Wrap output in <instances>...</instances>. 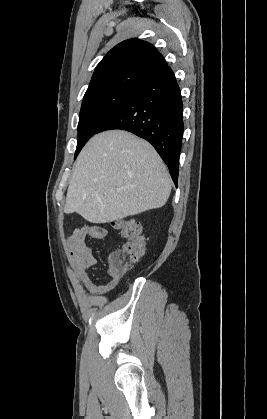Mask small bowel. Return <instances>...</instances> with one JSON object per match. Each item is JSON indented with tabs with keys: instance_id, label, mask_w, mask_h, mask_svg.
I'll return each instance as SVG.
<instances>
[{
	"instance_id": "1",
	"label": "small bowel",
	"mask_w": 267,
	"mask_h": 419,
	"mask_svg": "<svg viewBox=\"0 0 267 419\" xmlns=\"http://www.w3.org/2000/svg\"><path fill=\"white\" fill-rule=\"evenodd\" d=\"M105 236L106 230L103 226L93 224L75 229L66 241L69 262L75 278L91 295L97 297L107 295L119 282V277L111 275V279L106 284L97 285L89 275V269L97 263V260L87 239H103Z\"/></svg>"
}]
</instances>
